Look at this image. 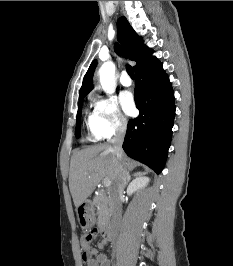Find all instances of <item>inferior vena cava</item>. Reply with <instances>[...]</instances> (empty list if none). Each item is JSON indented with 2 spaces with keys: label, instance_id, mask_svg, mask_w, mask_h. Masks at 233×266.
<instances>
[{
  "label": "inferior vena cava",
  "instance_id": "obj_1",
  "mask_svg": "<svg viewBox=\"0 0 233 266\" xmlns=\"http://www.w3.org/2000/svg\"><path fill=\"white\" fill-rule=\"evenodd\" d=\"M126 133V123H120L116 128L115 136L110 140L112 151L118 162L117 177L112 185V227L117 228L120 221L121 214V201L120 198L123 194L126 181L128 178V164L124 160V152L122 144Z\"/></svg>",
  "mask_w": 233,
  "mask_h": 266
}]
</instances>
